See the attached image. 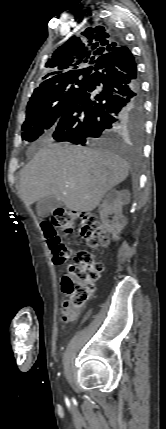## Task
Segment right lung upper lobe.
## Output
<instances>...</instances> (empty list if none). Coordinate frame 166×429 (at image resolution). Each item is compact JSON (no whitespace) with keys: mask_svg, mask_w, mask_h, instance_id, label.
<instances>
[{"mask_svg":"<svg viewBox=\"0 0 166 429\" xmlns=\"http://www.w3.org/2000/svg\"><path fill=\"white\" fill-rule=\"evenodd\" d=\"M120 46L112 32L105 33L98 27L87 28L54 51L45 64L44 81L34 90V94L43 92L66 78L90 75L100 56L112 53ZM89 64L92 66H88Z\"/></svg>","mask_w":166,"mask_h":429,"instance_id":"cb5924a9","label":"right lung upper lobe"}]
</instances>
